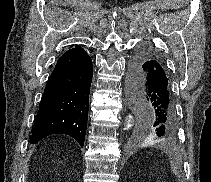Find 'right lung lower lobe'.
<instances>
[{"label":"right lung lower lobe","instance_id":"98d812e1","mask_svg":"<svg viewBox=\"0 0 211 182\" xmlns=\"http://www.w3.org/2000/svg\"><path fill=\"white\" fill-rule=\"evenodd\" d=\"M92 75V60L81 47L66 51L58 59L39 105L31 143L62 133L83 147Z\"/></svg>","mask_w":211,"mask_h":182}]
</instances>
